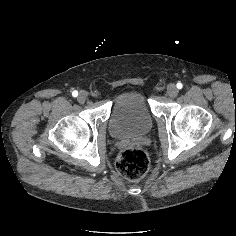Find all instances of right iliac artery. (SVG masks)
<instances>
[{
    "instance_id": "obj_1",
    "label": "right iliac artery",
    "mask_w": 236,
    "mask_h": 236,
    "mask_svg": "<svg viewBox=\"0 0 236 236\" xmlns=\"http://www.w3.org/2000/svg\"><path fill=\"white\" fill-rule=\"evenodd\" d=\"M72 96H73V97H77V96H78V91H76V90L73 91V92H72Z\"/></svg>"
}]
</instances>
